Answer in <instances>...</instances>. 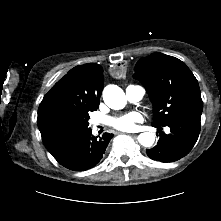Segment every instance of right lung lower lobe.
<instances>
[{"label": "right lung lower lobe", "instance_id": "98d812e1", "mask_svg": "<svg viewBox=\"0 0 221 221\" xmlns=\"http://www.w3.org/2000/svg\"><path fill=\"white\" fill-rule=\"evenodd\" d=\"M89 130L69 145L50 151L62 166L74 170L84 171L94 167L103 157L113 134L104 133L97 139Z\"/></svg>", "mask_w": 221, "mask_h": 221}]
</instances>
